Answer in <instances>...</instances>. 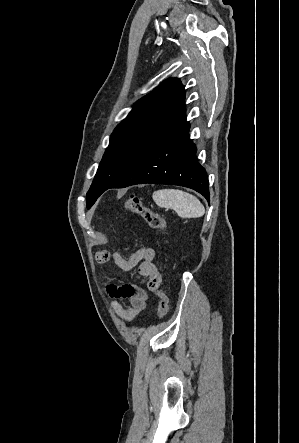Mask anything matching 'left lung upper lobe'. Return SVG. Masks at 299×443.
Segmentation results:
<instances>
[{
  "mask_svg": "<svg viewBox=\"0 0 299 443\" xmlns=\"http://www.w3.org/2000/svg\"><path fill=\"white\" fill-rule=\"evenodd\" d=\"M185 120V90L178 79L166 80L137 101L110 137L86 196L87 207Z\"/></svg>",
  "mask_w": 299,
  "mask_h": 443,
  "instance_id": "obj_1",
  "label": "left lung upper lobe"
}]
</instances>
